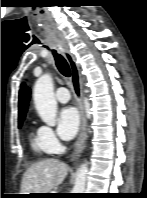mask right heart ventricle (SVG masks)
Instances as JSON below:
<instances>
[{
  "label": "right heart ventricle",
  "mask_w": 147,
  "mask_h": 198,
  "mask_svg": "<svg viewBox=\"0 0 147 198\" xmlns=\"http://www.w3.org/2000/svg\"><path fill=\"white\" fill-rule=\"evenodd\" d=\"M29 137H30L31 147L36 154L44 155L48 153L42 144L39 134V129H37L36 131H31Z\"/></svg>",
  "instance_id": "e07e8e85"
}]
</instances>
